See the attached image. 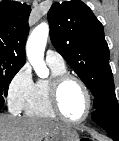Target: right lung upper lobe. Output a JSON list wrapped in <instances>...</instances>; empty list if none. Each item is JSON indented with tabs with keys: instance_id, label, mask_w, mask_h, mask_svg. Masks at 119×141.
<instances>
[{
	"instance_id": "obj_1",
	"label": "right lung upper lobe",
	"mask_w": 119,
	"mask_h": 141,
	"mask_svg": "<svg viewBox=\"0 0 119 141\" xmlns=\"http://www.w3.org/2000/svg\"><path fill=\"white\" fill-rule=\"evenodd\" d=\"M30 12L25 3L0 2V69H20L25 64Z\"/></svg>"
}]
</instances>
